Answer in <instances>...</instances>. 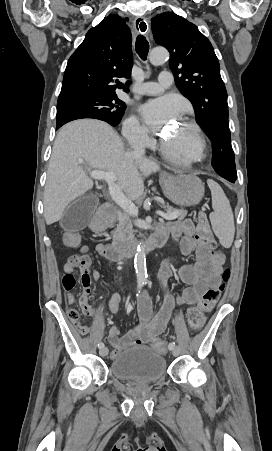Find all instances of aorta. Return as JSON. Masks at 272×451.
Segmentation results:
<instances>
[{
  "label": "aorta",
  "mask_w": 272,
  "mask_h": 451,
  "mask_svg": "<svg viewBox=\"0 0 272 451\" xmlns=\"http://www.w3.org/2000/svg\"><path fill=\"white\" fill-rule=\"evenodd\" d=\"M169 60V52L165 48H153L152 52L149 54V62L152 66H162ZM134 267L137 275V281H146L147 267H146V253H145V243L140 241L137 245L135 257H134Z\"/></svg>",
  "instance_id": "1"
}]
</instances>
